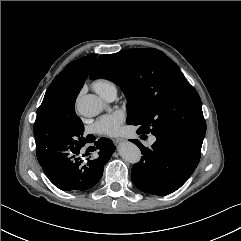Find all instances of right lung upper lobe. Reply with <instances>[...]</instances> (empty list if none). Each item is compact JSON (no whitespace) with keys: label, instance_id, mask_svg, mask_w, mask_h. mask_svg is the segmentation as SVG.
<instances>
[{"label":"right lung upper lobe","instance_id":"right-lung-upper-lobe-1","mask_svg":"<svg viewBox=\"0 0 241 241\" xmlns=\"http://www.w3.org/2000/svg\"><path fill=\"white\" fill-rule=\"evenodd\" d=\"M96 56L90 54L69 63L52 81L42 102L58 108L74 107ZM75 108V107H74Z\"/></svg>","mask_w":241,"mask_h":241}]
</instances>
